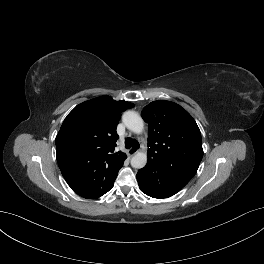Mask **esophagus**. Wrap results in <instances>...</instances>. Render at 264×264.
Returning a JSON list of instances; mask_svg holds the SVG:
<instances>
[{
    "mask_svg": "<svg viewBox=\"0 0 264 264\" xmlns=\"http://www.w3.org/2000/svg\"><path fill=\"white\" fill-rule=\"evenodd\" d=\"M138 152V149L136 148H130L128 149V155L132 156Z\"/></svg>",
    "mask_w": 264,
    "mask_h": 264,
    "instance_id": "esophagus-1",
    "label": "esophagus"
}]
</instances>
